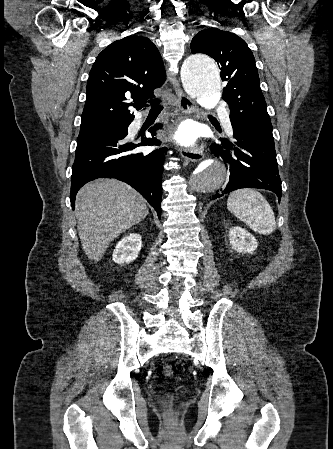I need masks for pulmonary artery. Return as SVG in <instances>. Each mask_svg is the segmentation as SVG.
Here are the masks:
<instances>
[{
  "mask_svg": "<svg viewBox=\"0 0 333 449\" xmlns=\"http://www.w3.org/2000/svg\"><path fill=\"white\" fill-rule=\"evenodd\" d=\"M225 121H226L227 126L230 127V122H229L228 116H225Z\"/></svg>",
  "mask_w": 333,
  "mask_h": 449,
  "instance_id": "obj_1",
  "label": "pulmonary artery"
}]
</instances>
